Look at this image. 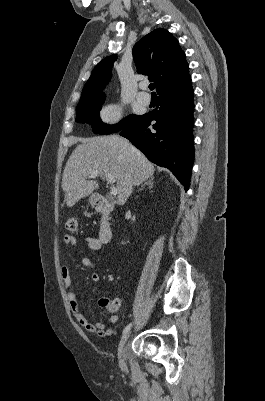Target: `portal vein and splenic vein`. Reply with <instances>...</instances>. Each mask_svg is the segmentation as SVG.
<instances>
[{"label":"portal vein and splenic vein","instance_id":"1","mask_svg":"<svg viewBox=\"0 0 265 401\" xmlns=\"http://www.w3.org/2000/svg\"><path fill=\"white\" fill-rule=\"evenodd\" d=\"M99 174V170H92L90 176L91 178H95V176H98ZM105 178H107V180H109V182H115V178L114 176H112V174H104ZM118 190L116 188V186H112L111 190H110V194H117Z\"/></svg>","mask_w":265,"mask_h":401}]
</instances>
